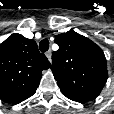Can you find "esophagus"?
<instances>
[{"label":"esophagus","mask_w":114,"mask_h":114,"mask_svg":"<svg viewBox=\"0 0 114 114\" xmlns=\"http://www.w3.org/2000/svg\"><path fill=\"white\" fill-rule=\"evenodd\" d=\"M51 56H52L51 51L46 52V57L48 58V60H49L50 62L52 61Z\"/></svg>","instance_id":"34e87169"}]
</instances>
